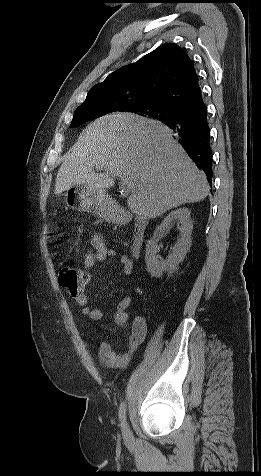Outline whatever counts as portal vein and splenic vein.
<instances>
[{
  "mask_svg": "<svg viewBox=\"0 0 261 476\" xmlns=\"http://www.w3.org/2000/svg\"><path fill=\"white\" fill-rule=\"evenodd\" d=\"M119 177L122 183L125 185L127 192H130L135 187L134 183L129 177H126V176H119Z\"/></svg>",
  "mask_w": 261,
  "mask_h": 476,
  "instance_id": "obj_1",
  "label": "portal vein and splenic vein"
}]
</instances>
